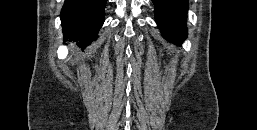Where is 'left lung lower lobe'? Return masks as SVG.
I'll return each instance as SVG.
<instances>
[{
  "label": "left lung lower lobe",
  "mask_w": 257,
  "mask_h": 130,
  "mask_svg": "<svg viewBox=\"0 0 257 130\" xmlns=\"http://www.w3.org/2000/svg\"><path fill=\"white\" fill-rule=\"evenodd\" d=\"M156 23L163 36L180 45L187 36L188 0H152Z\"/></svg>",
  "instance_id": "0a47b994"
}]
</instances>
